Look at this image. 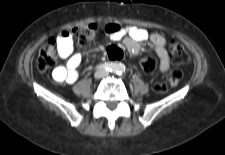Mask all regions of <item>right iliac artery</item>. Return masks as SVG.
I'll return each mask as SVG.
<instances>
[{
	"label": "right iliac artery",
	"instance_id": "obj_1",
	"mask_svg": "<svg viewBox=\"0 0 225 155\" xmlns=\"http://www.w3.org/2000/svg\"><path fill=\"white\" fill-rule=\"evenodd\" d=\"M118 68L116 63H104L96 67V69H104L106 71L115 72Z\"/></svg>",
	"mask_w": 225,
	"mask_h": 155
}]
</instances>
